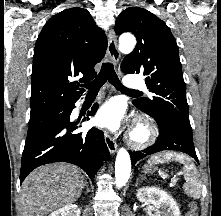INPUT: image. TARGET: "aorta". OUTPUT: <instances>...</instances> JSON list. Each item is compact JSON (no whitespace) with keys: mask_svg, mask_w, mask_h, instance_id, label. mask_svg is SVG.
Here are the masks:
<instances>
[{"mask_svg":"<svg viewBox=\"0 0 221 216\" xmlns=\"http://www.w3.org/2000/svg\"><path fill=\"white\" fill-rule=\"evenodd\" d=\"M136 45V39L131 34H123L119 38V50L122 53H130ZM131 171V160L129 153L124 149H119L115 161V183L117 187H123L129 179Z\"/></svg>","mask_w":221,"mask_h":216,"instance_id":"762f6f07","label":"aorta"}]
</instances>
